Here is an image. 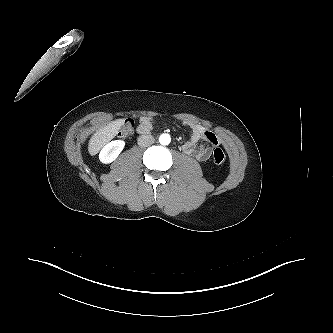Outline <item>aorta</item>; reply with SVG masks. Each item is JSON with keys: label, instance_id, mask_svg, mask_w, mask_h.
Masks as SVG:
<instances>
[{"label": "aorta", "instance_id": "aorta-1", "mask_svg": "<svg viewBox=\"0 0 333 333\" xmlns=\"http://www.w3.org/2000/svg\"><path fill=\"white\" fill-rule=\"evenodd\" d=\"M159 142L161 145H168L171 142V137L169 134H161L159 137Z\"/></svg>", "mask_w": 333, "mask_h": 333}]
</instances>
